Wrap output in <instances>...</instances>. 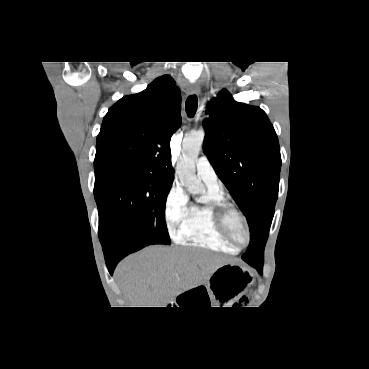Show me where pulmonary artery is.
<instances>
[{
	"label": "pulmonary artery",
	"instance_id": "obj_1",
	"mask_svg": "<svg viewBox=\"0 0 369 369\" xmlns=\"http://www.w3.org/2000/svg\"><path fill=\"white\" fill-rule=\"evenodd\" d=\"M197 176L211 189L219 190L217 174L206 156H201L196 161Z\"/></svg>",
	"mask_w": 369,
	"mask_h": 369
}]
</instances>
